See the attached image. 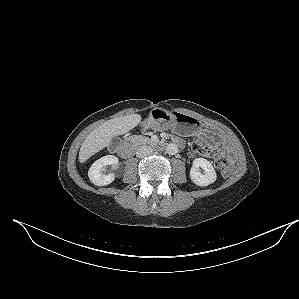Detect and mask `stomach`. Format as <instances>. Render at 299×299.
Masks as SVG:
<instances>
[{"instance_id": "obj_1", "label": "stomach", "mask_w": 299, "mask_h": 299, "mask_svg": "<svg viewBox=\"0 0 299 299\" xmlns=\"http://www.w3.org/2000/svg\"><path fill=\"white\" fill-rule=\"evenodd\" d=\"M194 118L180 113H168L161 108H154L150 111L148 119L144 122V129L167 130L173 129L177 132H183L187 135H199L201 124L197 126ZM209 143L214 144V140H208Z\"/></svg>"}]
</instances>
